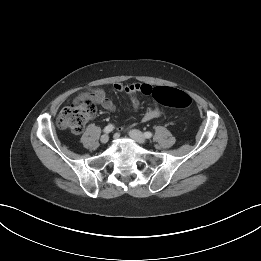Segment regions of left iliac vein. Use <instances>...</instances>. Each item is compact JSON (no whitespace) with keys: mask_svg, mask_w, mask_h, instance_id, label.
I'll use <instances>...</instances> for the list:
<instances>
[{"mask_svg":"<svg viewBox=\"0 0 261 261\" xmlns=\"http://www.w3.org/2000/svg\"><path fill=\"white\" fill-rule=\"evenodd\" d=\"M129 136L139 144H145L147 141L145 136L139 130L136 129L130 130Z\"/></svg>","mask_w":261,"mask_h":261,"instance_id":"1","label":"left iliac vein"}]
</instances>
